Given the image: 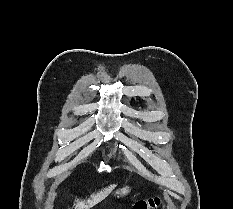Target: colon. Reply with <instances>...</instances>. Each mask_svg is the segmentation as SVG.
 <instances>
[{
	"label": "colon",
	"instance_id": "obj_1",
	"mask_svg": "<svg viewBox=\"0 0 233 209\" xmlns=\"http://www.w3.org/2000/svg\"><path fill=\"white\" fill-rule=\"evenodd\" d=\"M160 206V199L158 197H150L137 201L132 209H158Z\"/></svg>",
	"mask_w": 233,
	"mask_h": 209
}]
</instances>
